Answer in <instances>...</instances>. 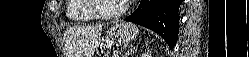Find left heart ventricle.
<instances>
[{"label":"left heart ventricle","instance_id":"obj_1","mask_svg":"<svg viewBox=\"0 0 249 57\" xmlns=\"http://www.w3.org/2000/svg\"><path fill=\"white\" fill-rule=\"evenodd\" d=\"M123 4V1L121 0H100L99 5H100V10L103 13H115L117 12Z\"/></svg>","mask_w":249,"mask_h":57}]
</instances>
